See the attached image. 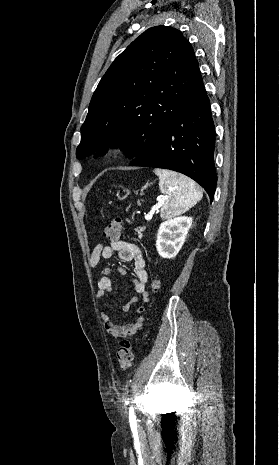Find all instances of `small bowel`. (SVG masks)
Returning a JSON list of instances; mask_svg holds the SVG:
<instances>
[{"instance_id": "c3829d8e", "label": "small bowel", "mask_w": 279, "mask_h": 465, "mask_svg": "<svg viewBox=\"0 0 279 465\" xmlns=\"http://www.w3.org/2000/svg\"><path fill=\"white\" fill-rule=\"evenodd\" d=\"M117 256L121 261L132 262L133 272L135 279L133 280L134 290L141 296V299L145 302L149 301V294L146 291V284L148 282V273L145 269V259L140 248L130 242L122 240H113L109 244L100 242L93 249L89 264L92 268H96L99 265L101 259H112ZM120 274H124L123 268L118 269ZM112 270L111 268H105L103 275L98 281L96 297L103 299L108 293L112 291L113 283L110 277ZM139 298L134 296L131 297L126 304L122 307L123 311H128L131 306L138 302ZM145 312L144 307H139L137 313L140 314L135 321L126 325H118L114 323L112 317L108 314L102 313L101 319L103 327L106 333L113 339L119 340L124 339L130 335L136 334L143 327L144 317L142 314Z\"/></svg>"}]
</instances>
